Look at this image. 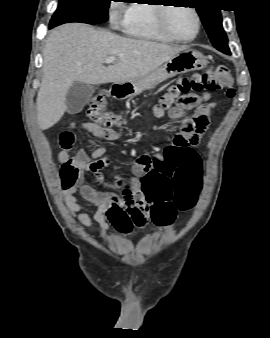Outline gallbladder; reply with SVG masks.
Listing matches in <instances>:
<instances>
[{
  "mask_svg": "<svg viewBox=\"0 0 270 338\" xmlns=\"http://www.w3.org/2000/svg\"><path fill=\"white\" fill-rule=\"evenodd\" d=\"M95 87L91 84H85L82 82L74 83L66 94V106L67 111L70 114H76L80 112L83 107L89 102Z\"/></svg>",
  "mask_w": 270,
  "mask_h": 338,
  "instance_id": "bac80fb5",
  "label": "gallbladder"
}]
</instances>
